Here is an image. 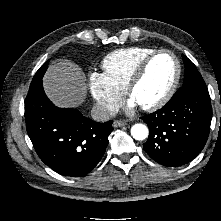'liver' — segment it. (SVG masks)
Returning <instances> with one entry per match:
<instances>
[{"label": "liver", "instance_id": "obj_1", "mask_svg": "<svg viewBox=\"0 0 221 221\" xmlns=\"http://www.w3.org/2000/svg\"><path fill=\"white\" fill-rule=\"evenodd\" d=\"M47 97L58 107H78L87 93L86 77L82 69L71 61L51 65L43 78Z\"/></svg>", "mask_w": 221, "mask_h": 221}]
</instances>
